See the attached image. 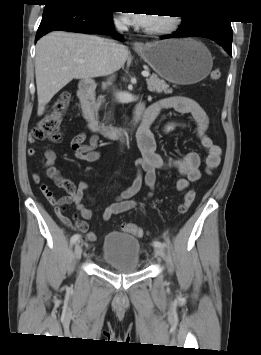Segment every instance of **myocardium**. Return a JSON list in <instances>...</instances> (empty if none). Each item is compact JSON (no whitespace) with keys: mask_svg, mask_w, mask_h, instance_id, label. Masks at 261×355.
Here are the masks:
<instances>
[{"mask_svg":"<svg viewBox=\"0 0 261 355\" xmlns=\"http://www.w3.org/2000/svg\"><path fill=\"white\" fill-rule=\"evenodd\" d=\"M180 25V18L177 15H171L166 18V22L155 28H147L146 33L150 35H166L175 31Z\"/></svg>","mask_w":261,"mask_h":355,"instance_id":"myocardium-1","label":"myocardium"}]
</instances>
